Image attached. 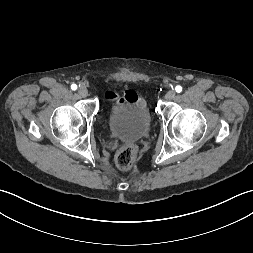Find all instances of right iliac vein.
Wrapping results in <instances>:
<instances>
[{"label": "right iliac vein", "mask_w": 253, "mask_h": 253, "mask_svg": "<svg viewBox=\"0 0 253 253\" xmlns=\"http://www.w3.org/2000/svg\"><path fill=\"white\" fill-rule=\"evenodd\" d=\"M78 94H79L81 97H86V96L88 95V90L86 89V87L81 86V87H79V89H78Z\"/></svg>", "instance_id": "1"}]
</instances>
